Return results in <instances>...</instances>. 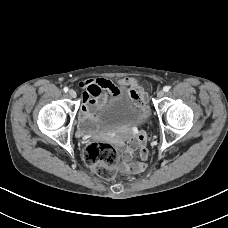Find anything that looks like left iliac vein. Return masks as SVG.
<instances>
[{
	"label": "left iliac vein",
	"instance_id": "1",
	"mask_svg": "<svg viewBox=\"0 0 228 228\" xmlns=\"http://www.w3.org/2000/svg\"><path fill=\"white\" fill-rule=\"evenodd\" d=\"M163 96H164V91L160 90V91L157 92V97L158 98H161Z\"/></svg>",
	"mask_w": 228,
	"mask_h": 228
}]
</instances>
